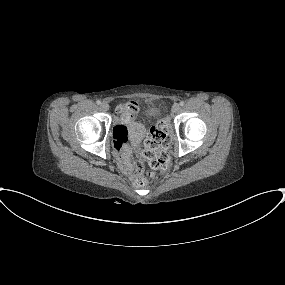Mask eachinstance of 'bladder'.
I'll list each match as a JSON object with an SVG mask.
<instances>
[{
    "mask_svg": "<svg viewBox=\"0 0 285 285\" xmlns=\"http://www.w3.org/2000/svg\"><path fill=\"white\" fill-rule=\"evenodd\" d=\"M145 113L146 115L154 119H158L162 116L161 108L153 102L147 105ZM142 132L143 126L139 121L134 119L128 121L127 133L131 140H136L138 137L141 136Z\"/></svg>",
    "mask_w": 285,
    "mask_h": 285,
    "instance_id": "31cf9c89",
    "label": "bladder"
}]
</instances>
